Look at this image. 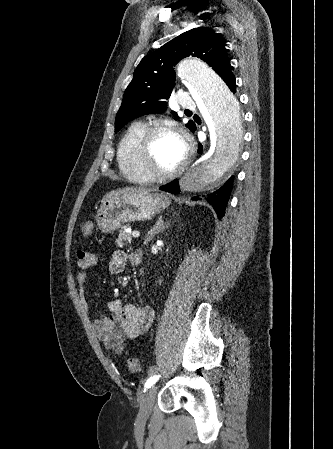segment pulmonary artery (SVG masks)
Instances as JSON below:
<instances>
[{
    "mask_svg": "<svg viewBox=\"0 0 333 449\" xmlns=\"http://www.w3.org/2000/svg\"><path fill=\"white\" fill-rule=\"evenodd\" d=\"M179 103L184 109H194L196 104L188 93H182L179 97Z\"/></svg>",
    "mask_w": 333,
    "mask_h": 449,
    "instance_id": "pulmonary-artery-1",
    "label": "pulmonary artery"
}]
</instances>
